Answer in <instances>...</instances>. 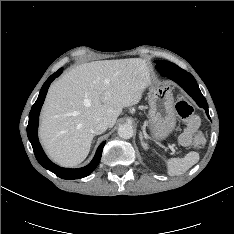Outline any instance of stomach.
I'll list each match as a JSON object with an SVG mask.
<instances>
[{"label": "stomach", "instance_id": "obj_1", "mask_svg": "<svg viewBox=\"0 0 234 234\" xmlns=\"http://www.w3.org/2000/svg\"><path fill=\"white\" fill-rule=\"evenodd\" d=\"M149 127L158 140L166 139L176 126V109L169 84L151 86L148 93Z\"/></svg>", "mask_w": 234, "mask_h": 234}]
</instances>
